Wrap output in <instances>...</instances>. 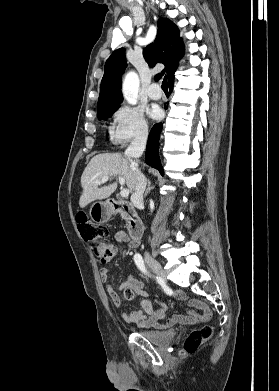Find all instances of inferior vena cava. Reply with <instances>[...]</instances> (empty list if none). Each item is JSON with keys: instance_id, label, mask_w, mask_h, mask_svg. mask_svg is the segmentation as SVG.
<instances>
[{"instance_id": "obj_1", "label": "inferior vena cava", "mask_w": 279, "mask_h": 391, "mask_svg": "<svg viewBox=\"0 0 279 391\" xmlns=\"http://www.w3.org/2000/svg\"><path fill=\"white\" fill-rule=\"evenodd\" d=\"M148 138V130H141L132 140L130 146L125 151V156L129 158H139L143 154ZM131 168L134 172L136 185L134 193L131 196V202L136 206L143 203V193L146 187V178L137 168L135 162L131 161Z\"/></svg>"}]
</instances>
